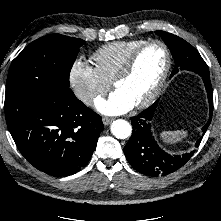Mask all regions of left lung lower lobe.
Instances as JSON below:
<instances>
[{
  "label": "left lung lower lobe",
  "instance_id": "obj_1",
  "mask_svg": "<svg viewBox=\"0 0 221 221\" xmlns=\"http://www.w3.org/2000/svg\"><path fill=\"white\" fill-rule=\"evenodd\" d=\"M205 83L208 101L210 105V117L207 124L202 128L206 132L213 113V91L210 76H202ZM158 104V100L137 116L131 118L133 133L124 147V153L131 166L138 172L152 176L167 175L181 168L194 154L170 155L162 150L154 140L151 130V120ZM200 140L196 143L198 146Z\"/></svg>",
  "mask_w": 221,
  "mask_h": 221
}]
</instances>
